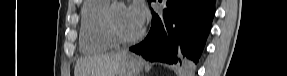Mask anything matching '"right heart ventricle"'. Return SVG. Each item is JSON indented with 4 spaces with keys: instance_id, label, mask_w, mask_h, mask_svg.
<instances>
[{
    "instance_id": "e07e8e85",
    "label": "right heart ventricle",
    "mask_w": 287,
    "mask_h": 76,
    "mask_svg": "<svg viewBox=\"0 0 287 76\" xmlns=\"http://www.w3.org/2000/svg\"><path fill=\"white\" fill-rule=\"evenodd\" d=\"M110 0H86L81 8L80 48L86 53L103 52L115 43L103 29V16Z\"/></svg>"
}]
</instances>
